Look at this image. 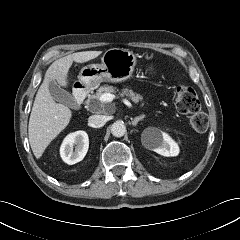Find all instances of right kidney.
<instances>
[{"mask_svg":"<svg viewBox=\"0 0 240 240\" xmlns=\"http://www.w3.org/2000/svg\"><path fill=\"white\" fill-rule=\"evenodd\" d=\"M89 148V138L85 131L69 134L60 148V155L67 164L73 165L83 160Z\"/></svg>","mask_w":240,"mask_h":240,"instance_id":"ca27d5eb","label":"right kidney"}]
</instances>
